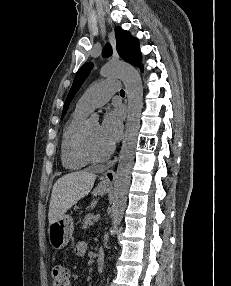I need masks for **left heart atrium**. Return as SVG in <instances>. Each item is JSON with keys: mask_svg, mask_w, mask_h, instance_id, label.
<instances>
[{"mask_svg": "<svg viewBox=\"0 0 231 286\" xmlns=\"http://www.w3.org/2000/svg\"><path fill=\"white\" fill-rule=\"evenodd\" d=\"M100 134L103 139L112 146L116 143L121 135L123 129V113L120 109L108 112L99 126Z\"/></svg>", "mask_w": 231, "mask_h": 286, "instance_id": "39dd6f15", "label": "left heart atrium"}]
</instances>
